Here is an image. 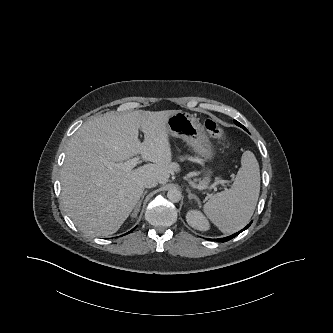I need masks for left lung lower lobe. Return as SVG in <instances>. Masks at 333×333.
<instances>
[{"instance_id":"left-lung-lower-lobe-1","label":"left lung lower lobe","mask_w":333,"mask_h":333,"mask_svg":"<svg viewBox=\"0 0 333 333\" xmlns=\"http://www.w3.org/2000/svg\"><path fill=\"white\" fill-rule=\"evenodd\" d=\"M252 222H250L243 230H246L250 225H251ZM243 230L231 235V236H228V237H224V238H219L217 239V241H220V242H226L232 238H234L235 236H237L238 234H240Z\"/></svg>"}]
</instances>
